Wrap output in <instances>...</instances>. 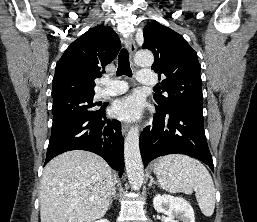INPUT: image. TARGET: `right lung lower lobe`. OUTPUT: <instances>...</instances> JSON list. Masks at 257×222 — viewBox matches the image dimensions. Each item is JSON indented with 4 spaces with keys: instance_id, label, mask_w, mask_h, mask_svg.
Segmentation results:
<instances>
[{
    "instance_id": "1",
    "label": "right lung lower lobe",
    "mask_w": 257,
    "mask_h": 222,
    "mask_svg": "<svg viewBox=\"0 0 257 222\" xmlns=\"http://www.w3.org/2000/svg\"><path fill=\"white\" fill-rule=\"evenodd\" d=\"M123 145L121 123L107 119L105 110L95 117L68 118L52 124L45 164L63 152L86 150L104 158L121 177L124 171Z\"/></svg>"
}]
</instances>
